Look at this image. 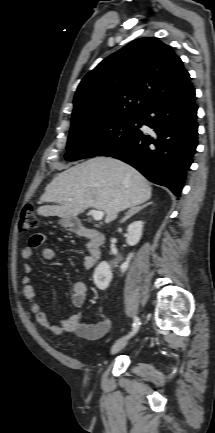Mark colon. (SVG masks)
I'll list each match as a JSON object with an SVG mask.
<instances>
[{"label":"colon","instance_id":"colon-1","mask_svg":"<svg viewBox=\"0 0 215 433\" xmlns=\"http://www.w3.org/2000/svg\"><path fill=\"white\" fill-rule=\"evenodd\" d=\"M38 225V218L35 214L34 207L32 205H26L20 213L18 222V231L21 234H25L34 230Z\"/></svg>","mask_w":215,"mask_h":433}]
</instances>
